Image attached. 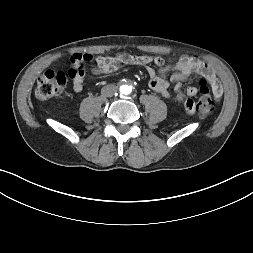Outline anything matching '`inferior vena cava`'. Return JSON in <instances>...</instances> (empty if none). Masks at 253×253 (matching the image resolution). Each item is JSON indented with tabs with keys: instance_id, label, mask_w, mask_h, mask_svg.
<instances>
[{
	"instance_id": "inferior-vena-cava-1",
	"label": "inferior vena cava",
	"mask_w": 253,
	"mask_h": 253,
	"mask_svg": "<svg viewBox=\"0 0 253 253\" xmlns=\"http://www.w3.org/2000/svg\"><path fill=\"white\" fill-rule=\"evenodd\" d=\"M117 92V87L113 84L106 85L102 88L101 93L105 97H112Z\"/></svg>"
}]
</instances>
